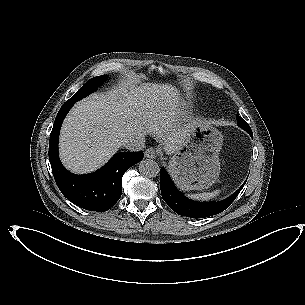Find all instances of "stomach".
Listing matches in <instances>:
<instances>
[{
    "mask_svg": "<svg viewBox=\"0 0 305 305\" xmlns=\"http://www.w3.org/2000/svg\"><path fill=\"white\" fill-rule=\"evenodd\" d=\"M223 137L214 126L193 123L181 147L171 157L168 171L182 191H202L212 186L219 177V152Z\"/></svg>",
    "mask_w": 305,
    "mask_h": 305,
    "instance_id": "0dacf381",
    "label": "stomach"
}]
</instances>
